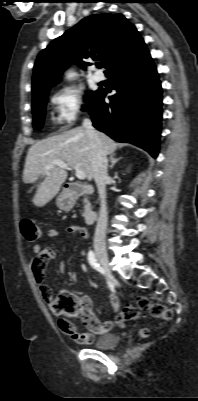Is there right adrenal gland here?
I'll return each instance as SVG.
<instances>
[{
	"mask_svg": "<svg viewBox=\"0 0 198 401\" xmlns=\"http://www.w3.org/2000/svg\"><path fill=\"white\" fill-rule=\"evenodd\" d=\"M121 159H122V157H120V158H115L114 155H111L110 158H109L110 163H111L110 166H109V169H112L113 166H114L117 162H119Z\"/></svg>",
	"mask_w": 198,
	"mask_h": 401,
	"instance_id": "right-adrenal-gland-1",
	"label": "right adrenal gland"
}]
</instances>
